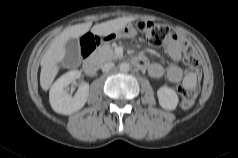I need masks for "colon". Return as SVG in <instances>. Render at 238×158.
Masks as SVG:
<instances>
[{
    "label": "colon",
    "instance_id": "1",
    "mask_svg": "<svg viewBox=\"0 0 238 158\" xmlns=\"http://www.w3.org/2000/svg\"><path fill=\"white\" fill-rule=\"evenodd\" d=\"M136 26L137 29L145 36L147 42L153 47H159L165 41H168L176 36L175 33L167 26L155 22L141 20L137 22ZM97 44L98 39L96 37L91 35L85 36L81 44L82 53L84 55H88L95 49ZM183 62L194 74V76L199 79V59L194 49L188 44L183 52ZM198 92L199 86L197 82H194L191 85H181L179 87L181 107H191L198 95Z\"/></svg>",
    "mask_w": 238,
    "mask_h": 158
}]
</instances>
